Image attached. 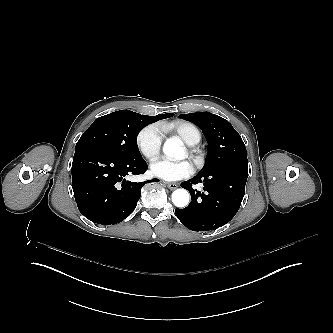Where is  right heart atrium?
<instances>
[{"label": "right heart atrium", "mask_w": 333, "mask_h": 333, "mask_svg": "<svg viewBox=\"0 0 333 333\" xmlns=\"http://www.w3.org/2000/svg\"><path fill=\"white\" fill-rule=\"evenodd\" d=\"M162 140V135L154 125L147 126L137 136L138 150L150 165L155 163L160 156Z\"/></svg>", "instance_id": "obj_1"}]
</instances>
